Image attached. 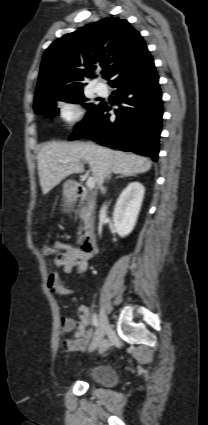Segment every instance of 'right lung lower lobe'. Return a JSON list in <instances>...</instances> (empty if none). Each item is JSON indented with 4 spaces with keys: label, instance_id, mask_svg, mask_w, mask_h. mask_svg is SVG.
Instances as JSON below:
<instances>
[{
    "label": "right lung lower lobe",
    "instance_id": "1",
    "mask_svg": "<svg viewBox=\"0 0 208 425\" xmlns=\"http://www.w3.org/2000/svg\"><path fill=\"white\" fill-rule=\"evenodd\" d=\"M158 81L150 54L125 68L109 82L110 86L118 88L116 100L124 104L116 111V120L110 118L111 107L101 103L76 126L70 139L86 137L100 145L135 152L157 161L163 114Z\"/></svg>",
    "mask_w": 208,
    "mask_h": 425
}]
</instances>
